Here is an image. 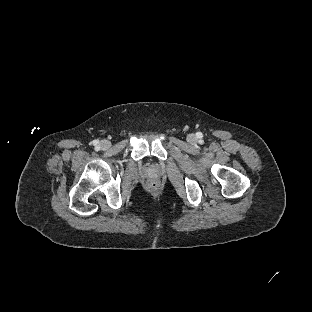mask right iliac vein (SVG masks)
I'll use <instances>...</instances> for the list:
<instances>
[{"mask_svg": "<svg viewBox=\"0 0 312 312\" xmlns=\"http://www.w3.org/2000/svg\"><path fill=\"white\" fill-rule=\"evenodd\" d=\"M99 146L101 149H108L110 147V142L108 140H102Z\"/></svg>", "mask_w": 312, "mask_h": 312, "instance_id": "obj_1", "label": "right iliac vein"}]
</instances>
